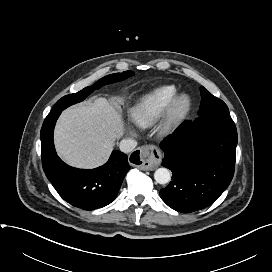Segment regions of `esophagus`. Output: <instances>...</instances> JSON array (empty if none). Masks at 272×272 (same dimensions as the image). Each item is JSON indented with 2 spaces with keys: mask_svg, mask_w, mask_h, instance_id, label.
Instances as JSON below:
<instances>
[{
  "mask_svg": "<svg viewBox=\"0 0 272 272\" xmlns=\"http://www.w3.org/2000/svg\"><path fill=\"white\" fill-rule=\"evenodd\" d=\"M162 159L160 150L154 145H145L137 149L130 156V162L138 165L142 170H154Z\"/></svg>",
  "mask_w": 272,
  "mask_h": 272,
  "instance_id": "obj_1",
  "label": "esophagus"
}]
</instances>
